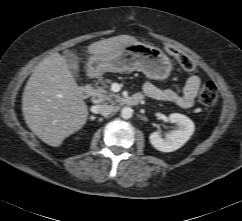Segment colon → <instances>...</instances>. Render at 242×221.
<instances>
[{
    "label": "colon",
    "instance_id": "obj_1",
    "mask_svg": "<svg viewBox=\"0 0 242 221\" xmlns=\"http://www.w3.org/2000/svg\"><path fill=\"white\" fill-rule=\"evenodd\" d=\"M165 51L172 55L186 72L195 70V63L192 58L172 45H166ZM217 100V87L213 82L204 83L199 91V102L204 106H212Z\"/></svg>",
    "mask_w": 242,
    "mask_h": 221
}]
</instances>
